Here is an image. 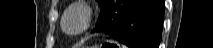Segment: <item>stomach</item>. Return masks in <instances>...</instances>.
Listing matches in <instances>:
<instances>
[{
	"instance_id": "0dacf381",
	"label": "stomach",
	"mask_w": 213,
	"mask_h": 48,
	"mask_svg": "<svg viewBox=\"0 0 213 48\" xmlns=\"http://www.w3.org/2000/svg\"><path fill=\"white\" fill-rule=\"evenodd\" d=\"M102 46H103V44H97V45L90 47V48H101Z\"/></svg>"
}]
</instances>
